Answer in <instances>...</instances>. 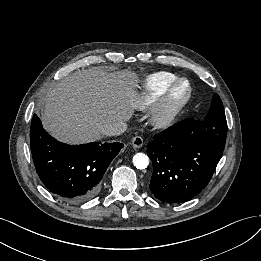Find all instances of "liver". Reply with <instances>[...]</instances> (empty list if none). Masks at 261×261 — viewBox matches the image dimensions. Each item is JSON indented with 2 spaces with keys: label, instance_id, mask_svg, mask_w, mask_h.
Returning a JSON list of instances; mask_svg holds the SVG:
<instances>
[{
  "label": "liver",
  "instance_id": "liver-1",
  "mask_svg": "<svg viewBox=\"0 0 261 261\" xmlns=\"http://www.w3.org/2000/svg\"><path fill=\"white\" fill-rule=\"evenodd\" d=\"M138 82L131 71L107 73L93 67L72 73L46 93L42 124L66 143L99 140L105 125L131 118L139 100Z\"/></svg>",
  "mask_w": 261,
  "mask_h": 261
}]
</instances>
